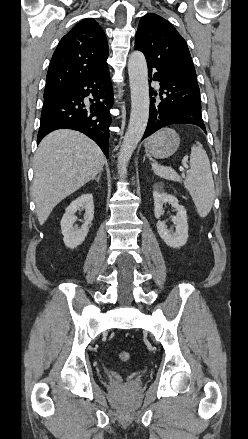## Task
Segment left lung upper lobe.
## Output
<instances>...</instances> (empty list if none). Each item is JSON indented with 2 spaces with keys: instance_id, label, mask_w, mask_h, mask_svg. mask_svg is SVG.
<instances>
[{
  "instance_id": "5c2ea615",
  "label": "left lung upper lobe",
  "mask_w": 248,
  "mask_h": 439,
  "mask_svg": "<svg viewBox=\"0 0 248 439\" xmlns=\"http://www.w3.org/2000/svg\"><path fill=\"white\" fill-rule=\"evenodd\" d=\"M135 49L144 53L147 62L197 82L186 41L164 18L151 13L141 18L136 33Z\"/></svg>"
}]
</instances>
